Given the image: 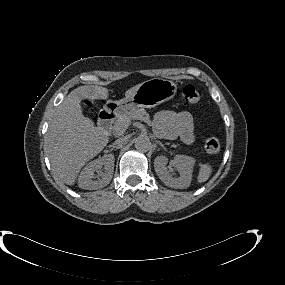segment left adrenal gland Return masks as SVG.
<instances>
[{
    "mask_svg": "<svg viewBox=\"0 0 285 285\" xmlns=\"http://www.w3.org/2000/svg\"><path fill=\"white\" fill-rule=\"evenodd\" d=\"M155 142H156L157 144H159L162 148H165L164 145L162 144V142H160L159 140H155Z\"/></svg>",
    "mask_w": 285,
    "mask_h": 285,
    "instance_id": "obj_1",
    "label": "left adrenal gland"
}]
</instances>
